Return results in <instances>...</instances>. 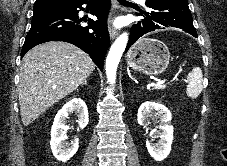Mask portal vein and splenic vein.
<instances>
[{
	"label": "portal vein and splenic vein",
	"instance_id": "1",
	"mask_svg": "<svg viewBox=\"0 0 227 166\" xmlns=\"http://www.w3.org/2000/svg\"><path fill=\"white\" fill-rule=\"evenodd\" d=\"M163 83H164V81H159V82H157V83L152 82L150 85H151V86H156V85H160V84H163Z\"/></svg>",
	"mask_w": 227,
	"mask_h": 166
}]
</instances>
